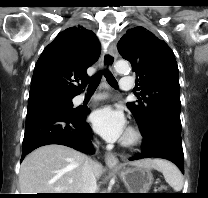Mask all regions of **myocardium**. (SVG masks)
Returning a JSON list of instances; mask_svg holds the SVG:
<instances>
[{"label":"myocardium","mask_w":208,"mask_h":198,"mask_svg":"<svg viewBox=\"0 0 208 198\" xmlns=\"http://www.w3.org/2000/svg\"><path fill=\"white\" fill-rule=\"evenodd\" d=\"M143 141V134L138 127L130 126L124 137L122 138V145L125 147H135L141 144Z\"/></svg>","instance_id":"1"}]
</instances>
